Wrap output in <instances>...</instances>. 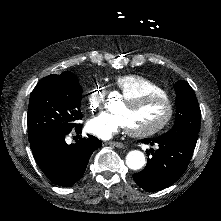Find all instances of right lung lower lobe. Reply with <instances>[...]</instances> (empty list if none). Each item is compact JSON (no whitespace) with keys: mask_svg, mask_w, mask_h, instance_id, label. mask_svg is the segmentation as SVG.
Masks as SVG:
<instances>
[{"mask_svg":"<svg viewBox=\"0 0 221 221\" xmlns=\"http://www.w3.org/2000/svg\"><path fill=\"white\" fill-rule=\"evenodd\" d=\"M81 127L79 124L74 130L81 133ZM67 134L45 135L30 142L40 169L50 181L63 187L71 186L82 178L93 151L102 146V142L94 136L68 145L65 142Z\"/></svg>","mask_w":221,"mask_h":221,"instance_id":"obj_1","label":"right lung lower lobe"}]
</instances>
